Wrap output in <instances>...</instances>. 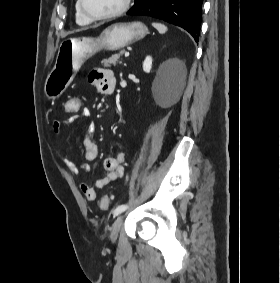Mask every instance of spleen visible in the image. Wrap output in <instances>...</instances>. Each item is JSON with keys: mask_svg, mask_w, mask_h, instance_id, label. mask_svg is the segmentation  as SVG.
<instances>
[{"mask_svg": "<svg viewBox=\"0 0 280 283\" xmlns=\"http://www.w3.org/2000/svg\"><path fill=\"white\" fill-rule=\"evenodd\" d=\"M152 25L160 34H164L167 31V27L164 24L152 23Z\"/></svg>", "mask_w": 280, "mask_h": 283, "instance_id": "obj_1", "label": "spleen"}]
</instances>
